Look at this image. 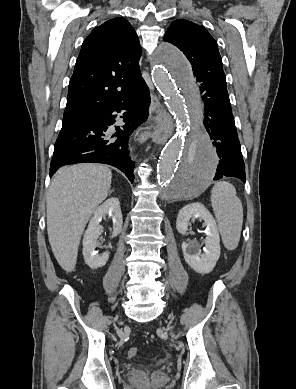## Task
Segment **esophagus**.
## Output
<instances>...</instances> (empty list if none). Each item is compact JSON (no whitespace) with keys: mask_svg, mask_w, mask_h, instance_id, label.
<instances>
[{"mask_svg":"<svg viewBox=\"0 0 296 389\" xmlns=\"http://www.w3.org/2000/svg\"><path fill=\"white\" fill-rule=\"evenodd\" d=\"M151 109H153L156 112V114H154L153 117H152V120H153L154 123L159 124L163 120H166L168 118V113L162 107V105L160 104V102L157 99V97L155 95H153V94L151 95ZM165 125H166V122L164 121L161 124V127H164ZM136 140L140 144H145L149 140V135L145 131H140L136 135Z\"/></svg>","mask_w":296,"mask_h":389,"instance_id":"esophagus-1","label":"esophagus"}]
</instances>
